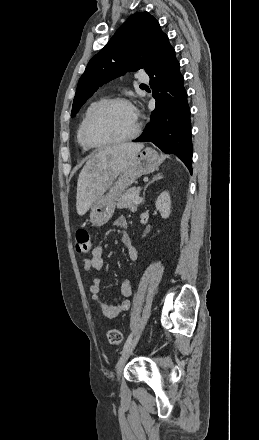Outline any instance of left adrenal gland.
Wrapping results in <instances>:
<instances>
[{
	"mask_svg": "<svg viewBox=\"0 0 259 440\" xmlns=\"http://www.w3.org/2000/svg\"><path fill=\"white\" fill-rule=\"evenodd\" d=\"M161 178H163L162 173H158V174H156V175L153 176L152 180H151L149 183L146 184V186L144 187V191H143L142 204H143L144 201H145V191H146L147 187H148L151 183H153L154 181L159 180V179H161Z\"/></svg>",
	"mask_w": 259,
	"mask_h": 440,
	"instance_id": "a2214340",
	"label": "left adrenal gland"
}]
</instances>
